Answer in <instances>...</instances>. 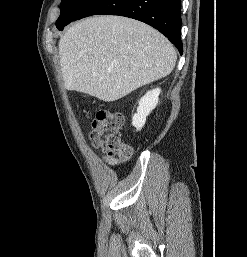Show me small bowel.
I'll return each instance as SVG.
<instances>
[{
	"mask_svg": "<svg viewBox=\"0 0 247 257\" xmlns=\"http://www.w3.org/2000/svg\"><path fill=\"white\" fill-rule=\"evenodd\" d=\"M103 160L108 163L109 165H118L120 164L122 161L126 160V159H122V158H116V157H109L107 155H103Z\"/></svg>",
	"mask_w": 247,
	"mask_h": 257,
	"instance_id": "small-bowel-1",
	"label": "small bowel"
}]
</instances>
